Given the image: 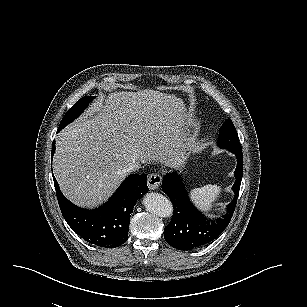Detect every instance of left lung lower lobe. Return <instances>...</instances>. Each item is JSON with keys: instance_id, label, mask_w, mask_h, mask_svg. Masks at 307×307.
Returning a JSON list of instances; mask_svg holds the SVG:
<instances>
[{"instance_id": "left-lung-lower-lobe-1", "label": "left lung lower lobe", "mask_w": 307, "mask_h": 307, "mask_svg": "<svg viewBox=\"0 0 307 307\" xmlns=\"http://www.w3.org/2000/svg\"><path fill=\"white\" fill-rule=\"evenodd\" d=\"M238 160L233 185L235 197L227 206V214L216 221H209L193 206L179 176L167 174L162 181V190L170 198L174 214L164 228V237L169 245L182 251H191L206 246L215 240L228 226L234 213L243 176L242 151L233 152Z\"/></svg>"}]
</instances>
